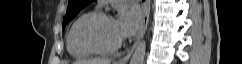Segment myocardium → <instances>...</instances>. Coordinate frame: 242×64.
Returning <instances> with one entry per match:
<instances>
[{"instance_id":"myocardium-1","label":"myocardium","mask_w":242,"mask_h":64,"mask_svg":"<svg viewBox=\"0 0 242 64\" xmlns=\"http://www.w3.org/2000/svg\"><path fill=\"white\" fill-rule=\"evenodd\" d=\"M105 19H112V16L104 12H96L86 16L77 25L74 33V38L77 45L81 49L91 54H110L115 52L121 47L122 40H119L117 43H115L112 46L104 47V46L97 45L86 38L85 31L92 25Z\"/></svg>"}]
</instances>
